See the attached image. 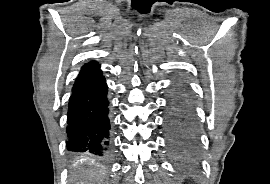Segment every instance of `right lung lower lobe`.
<instances>
[{
	"label": "right lung lower lobe",
	"instance_id": "obj_1",
	"mask_svg": "<svg viewBox=\"0 0 270 184\" xmlns=\"http://www.w3.org/2000/svg\"><path fill=\"white\" fill-rule=\"evenodd\" d=\"M107 85L97 62L85 64L76 78L67 117L68 151L105 157L109 146Z\"/></svg>",
	"mask_w": 270,
	"mask_h": 184
}]
</instances>
